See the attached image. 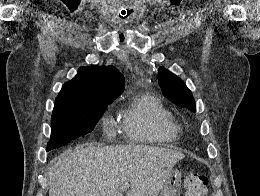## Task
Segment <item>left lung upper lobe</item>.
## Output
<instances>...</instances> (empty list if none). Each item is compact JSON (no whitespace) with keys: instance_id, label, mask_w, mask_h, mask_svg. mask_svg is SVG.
I'll use <instances>...</instances> for the list:
<instances>
[{"instance_id":"left-lung-upper-lobe-1","label":"left lung upper lobe","mask_w":260,"mask_h":196,"mask_svg":"<svg viewBox=\"0 0 260 196\" xmlns=\"http://www.w3.org/2000/svg\"><path fill=\"white\" fill-rule=\"evenodd\" d=\"M158 81L165 97L183 108L196 111L194 98L180 78L160 67Z\"/></svg>"}]
</instances>
